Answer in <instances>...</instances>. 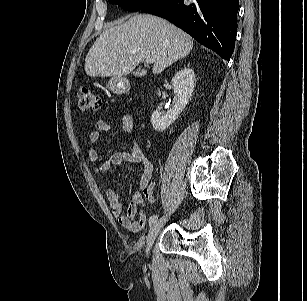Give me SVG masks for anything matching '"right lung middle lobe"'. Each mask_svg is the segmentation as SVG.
Instances as JSON below:
<instances>
[{"label": "right lung middle lobe", "instance_id": "dd1d6c3e", "mask_svg": "<svg viewBox=\"0 0 307 301\" xmlns=\"http://www.w3.org/2000/svg\"><path fill=\"white\" fill-rule=\"evenodd\" d=\"M156 1L157 0H109L110 3L117 4L123 9L131 12L140 11Z\"/></svg>", "mask_w": 307, "mask_h": 301}]
</instances>
